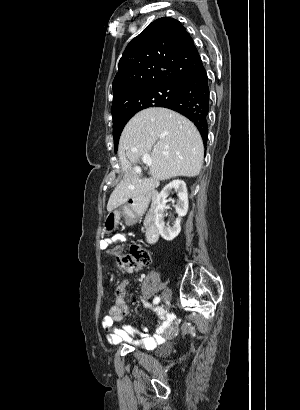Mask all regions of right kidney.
Returning a JSON list of instances; mask_svg holds the SVG:
<instances>
[{"label":"right kidney","mask_w":300,"mask_h":410,"mask_svg":"<svg viewBox=\"0 0 300 410\" xmlns=\"http://www.w3.org/2000/svg\"><path fill=\"white\" fill-rule=\"evenodd\" d=\"M172 190H175L178 195L177 204L175 205L178 218L174 221L172 226L165 224V206L167 198ZM188 211V193L187 187L184 181L182 180H173L167 184L162 191L157 196V206L154 210L155 213V225L162 236L166 241L173 240L181 231V217L185 216Z\"/></svg>","instance_id":"1"}]
</instances>
